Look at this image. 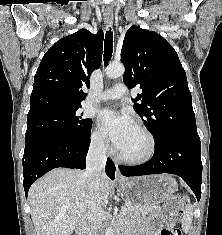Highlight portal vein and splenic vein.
Instances as JSON below:
<instances>
[{
    "label": "portal vein and splenic vein",
    "instance_id": "18ae733b",
    "mask_svg": "<svg viewBox=\"0 0 222 235\" xmlns=\"http://www.w3.org/2000/svg\"><path fill=\"white\" fill-rule=\"evenodd\" d=\"M122 211H126L127 210V207L126 206H122Z\"/></svg>",
    "mask_w": 222,
    "mask_h": 235
}]
</instances>
